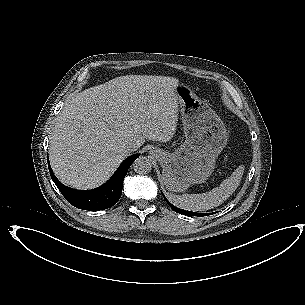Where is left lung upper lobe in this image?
Returning <instances> with one entry per match:
<instances>
[{
  "mask_svg": "<svg viewBox=\"0 0 305 305\" xmlns=\"http://www.w3.org/2000/svg\"><path fill=\"white\" fill-rule=\"evenodd\" d=\"M179 213L180 214H189V215H192L193 214V212H190V211H185V210H182V209H180V211H179Z\"/></svg>",
  "mask_w": 305,
  "mask_h": 305,
  "instance_id": "left-lung-upper-lobe-1",
  "label": "left lung upper lobe"
}]
</instances>
